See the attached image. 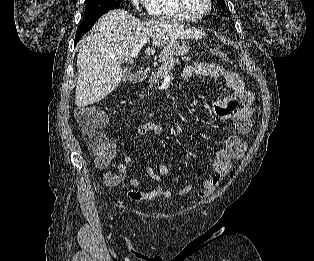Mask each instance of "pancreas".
I'll use <instances>...</instances> for the list:
<instances>
[{"mask_svg": "<svg viewBox=\"0 0 314 261\" xmlns=\"http://www.w3.org/2000/svg\"><path fill=\"white\" fill-rule=\"evenodd\" d=\"M166 50V48H164ZM183 61H190V57H183ZM176 64H180V61L173 56H168L162 60L161 66L157 69V71L152 72L149 82L151 85L156 84L159 79H162L170 70L175 67Z\"/></svg>", "mask_w": 314, "mask_h": 261, "instance_id": "1", "label": "pancreas"}]
</instances>
